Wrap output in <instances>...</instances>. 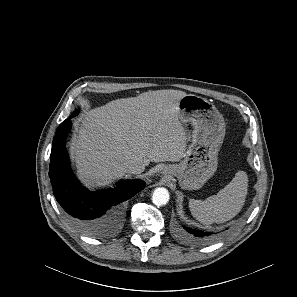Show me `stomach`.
I'll return each instance as SVG.
<instances>
[{
    "mask_svg": "<svg viewBox=\"0 0 297 297\" xmlns=\"http://www.w3.org/2000/svg\"><path fill=\"white\" fill-rule=\"evenodd\" d=\"M178 118L192 125L190 144L183 159L165 168V174L178 179L183 189H200L216 172L218 152L225 136V122L206 98L187 94L179 100Z\"/></svg>",
    "mask_w": 297,
    "mask_h": 297,
    "instance_id": "0dacf381",
    "label": "stomach"
}]
</instances>
